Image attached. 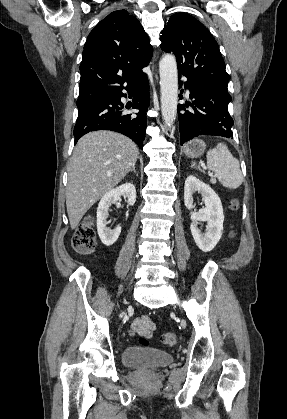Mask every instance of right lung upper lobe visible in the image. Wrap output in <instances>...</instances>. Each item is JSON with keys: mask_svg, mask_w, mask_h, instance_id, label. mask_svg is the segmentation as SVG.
<instances>
[{"mask_svg": "<svg viewBox=\"0 0 287 419\" xmlns=\"http://www.w3.org/2000/svg\"><path fill=\"white\" fill-rule=\"evenodd\" d=\"M153 48L142 25L126 10L114 11L90 32L80 65L77 106H90L139 80Z\"/></svg>", "mask_w": 287, "mask_h": 419, "instance_id": "1", "label": "right lung upper lobe"}]
</instances>
